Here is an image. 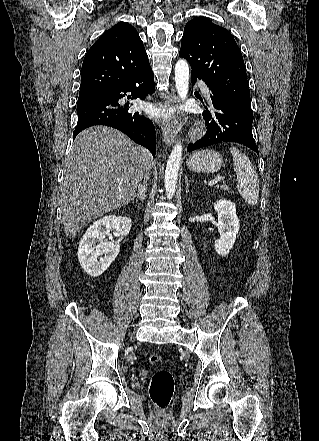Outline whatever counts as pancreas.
<instances>
[{
	"label": "pancreas",
	"instance_id": "obj_1",
	"mask_svg": "<svg viewBox=\"0 0 319 441\" xmlns=\"http://www.w3.org/2000/svg\"><path fill=\"white\" fill-rule=\"evenodd\" d=\"M220 188L224 191H229V187L225 184L221 185Z\"/></svg>",
	"mask_w": 319,
	"mask_h": 441
}]
</instances>
